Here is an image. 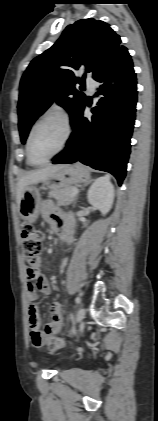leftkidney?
<instances>
[{"mask_svg": "<svg viewBox=\"0 0 158 421\" xmlns=\"http://www.w3.org/2000/svg\"><path fill=\"white\" fill-rule=\"evenodd\" d=\"M114 196V186L108 176L96 179L87 193L88 202L100 210L103 215L112 208Z\"/></svg>", "mask_w": 158, "mask_h": 421, "instance_id": "obj_1", "label": "left kidney"}]
</instances>
